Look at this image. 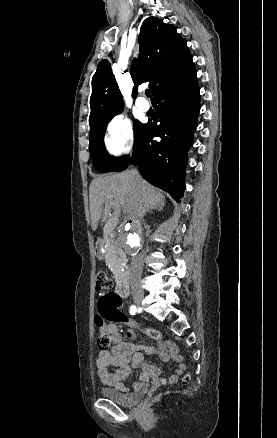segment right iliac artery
Masks as SVG:
<instances>
[{
  "mask_svg": "<svg viewBox=\"0 0 277 438\" xmlns=\"http://www.w3.org/2000/svg\"><path fill=\"white\" fill-rule=\"evenodd\" d=\"M136 313H137V308H136L135 305H132V306L130 307V314H131V315H135Z\"/></svg>",
  "mask_w": 277,
  "mask_h": 438,
  "instance_id": "obj_1",
  "label": "right iliac artery"
}]
</instances>
